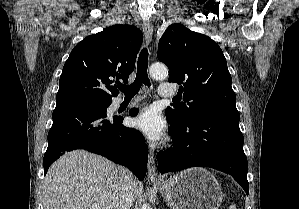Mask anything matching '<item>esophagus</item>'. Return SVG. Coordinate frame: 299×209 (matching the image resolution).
I'll list each match as a JSON object with an SVG mask.
<instances>
[{"label": "esophagus", "mask_w": 299, "mask_h": 209, "mask_svg": "<svg viewBox=\"0 0 299 209\" xmlns=\"http://www.w3.org/2000/svg\"><path fill=\"white\" fill-rule=\"evenodd\" d=\"M142 28H143V32L145 35L146 44H147V46H149L152 41L153 26L149 21H144L142 24ZM147 168H148V177L151 180H159L160 179V177L158 176V174L156 172L155 156H154L153 150L149 151Z\"/></svg>", "instance_id": "esophagus-1"}]
</instances>
